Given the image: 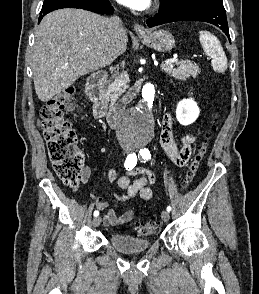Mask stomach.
Listing matches in <instances>:
<instances>
[{"label":"stomach","instance_id":"1","mask_svg":"<svg viewBox=\"0 0 259 294\" xmlns=\"http://www.w3.org/2000/svg\"><path fill=\"white\" fill-rule=\"evenodd\" d=\"M139 38L148 47L158 52H168L175 47L173 35L165 30L148 31L144 34H139Z\"/></svg>","mask_w":259,"mask_h":294}]
</instances>
